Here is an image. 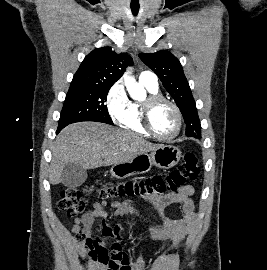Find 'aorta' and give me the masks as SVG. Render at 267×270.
Returning <instances> with one entry per match:
<instances>
[{
	"instance_id": "obj_1",
	"label": "aorta",
	"mask_w": 267,
	"mask_h": 270,
	"mask_svg": "<svg viewBox=\"0 0 267 270\" xmlns=\"http://www.w3.org/2000/svg\"><path fill=\"white\" fill-rule=\"evenodd\" d=\"M132 69H129L127 73L124 75V83L127 88V91L129 95L134 99V100H141L144 95H145V90L144 88L139 85L135 78L130 75Z\"/></svg>"
}]
</instances>
